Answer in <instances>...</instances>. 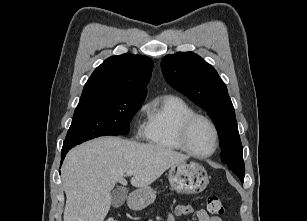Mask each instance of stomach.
Wrapping results in <instances>:
<instances>
[{"instance_id":"stomach-1","label":"stomach","mask_w":307,"mask_h":221,"mask_svg":"<svg viewBox=\"0 0 307 221\" xmlns=\"http://www.w3.org/2000/svg\"><path fill=\"white\" fill-rule=\"evenodd\" d=\"M168 179L171 187L182 194H198L202 192L209 183L205 168L197 162H181L172 166L169 170ZM156 191L149 187H142L136 191V198L131 206L144 208L154 202Z\"/></svg>"}]
</instances>
